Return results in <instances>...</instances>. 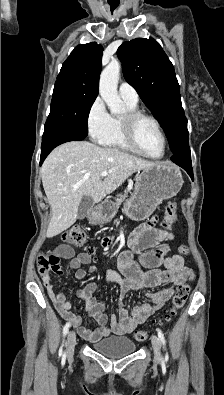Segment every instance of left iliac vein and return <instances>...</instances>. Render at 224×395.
<instances>
[{
	"label": "left iliac vein",
	"instance_id": "4c4485c4",
	"mask_svg": "<svg viewBox=\"0 0 224 395\" xmlns=\"http://www.w3.org/2000/svg\"><path fill=\"white\" fill-rule=\"evenodd\" d=\"M151 343L154 350V361L160 363L162 361L160 340L156 335H152Z\"/></svg>",
	"mask_w": 224,
	"mask_h": 395
}]
</instances>
